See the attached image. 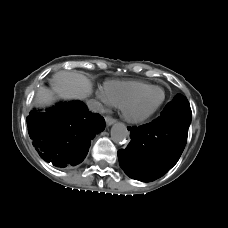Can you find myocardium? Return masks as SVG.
<instances>
[{
    "label": "myocardium",
    "instance_id": "1",
    "mask_svg": "<svg viewBox=\"0 0 228 228\" xmlns=\"http://www.w3.org/2000/svg\"><path fill=\"white\" fill-rule=\"evenodd\" d=\"M154 89H158L162 91V98L161 100L158 102V104L153 107L150 110L141 112V113H132L130 111V107L135 104L143 95H145L147 92L154 90ZM165 91L162 87L160 86H156V85H151L149 87H147L146 89L138 92L137 94H135L134 96H132L131 98H129L128 100H126L123 105L121 106V112L123 117L131 122V123H141L145 120H147L149 117H151L155 112L158 111V109L161 107V105L163 104V102L165 101Z\"/></svg>",
    "mask_w": 228,
    "mask_h": 228
}]
</instances>
